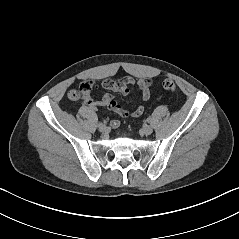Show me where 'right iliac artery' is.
Instances as JSON below:
<instances>
[{
	"label": "right iliac artery",
	"mask_w": 239,
	"mask_h": 239,
	"mask_svg": "<svg viewBox=\"0 0 239 239\" xmlns=\"http://www.w3.org/2000/svg\"><path fill=\"white\" fill-rule=\"evenodd\" d=\"M102 125H103L102 122H99V123L97 124L98 127H100V126H102Z\"/></svg>",
	"instance_id": "right-iliac-artery-1"
}]
</instances>
